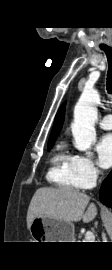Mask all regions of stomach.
I'll use <instances>...</instances> for the list:
<instances>
[{
    "label": "stomach",
    "mask_w": 112,
    "mask_h": 270,
    "mask_svg": "<svg viewBox=\"0 0 112 270\" xmlns=\"http://www.w3.org/2000/svg\"><path fill=\"white\" fill-rule=\"evenodd\" d=\"M34 242H74V224L58 219L36 217L29 228Z\"/></svg>",
    "instance_id": "1"
}]
</instances>
